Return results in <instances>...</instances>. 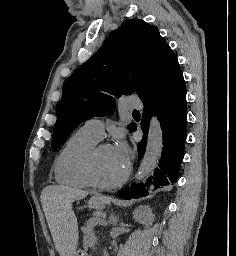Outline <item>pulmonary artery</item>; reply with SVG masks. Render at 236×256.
I'll use <instances>...</instances> for the list:
<instances>
[{
  "mask_svg": "<svg viewBox=\"0 0 236 256\" xmlns=\"http://www.w3.org/2000/svg\"><path fill=\"white\" fill-rule=\"evenodd\" d=\"M125 100L127 101V109H137L138 106H142V101H135V96H126ZM81 130L93 137L96 141H100L104 134L103 121L97 117L91 118L84 123Z\"/></svg>",
  "mask_w": 236,
  "mask_h": 256,
  "instance_id": "pulmonary-artery-1",
  "label": "pulmonary artery"
}]
</instances>
